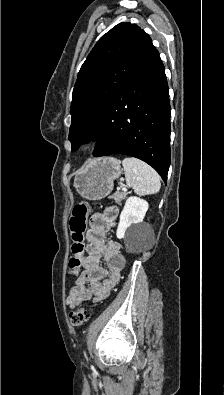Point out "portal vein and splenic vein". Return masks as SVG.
<instances>
[{
	"label": "portal vein and splenic vein",
	"instance_id": "obj_1",
	"mask_svg": "<svg viewBox=\"0 0 224 395\" xmlns=\"http://www.w3.org/2000/svg\"><path fill=\"white\" fill-rule=\"evenodd\" d=\"M122 190L126 191V188H122Z\"/></svg>",
	"mask_w": 224,
	"mask_h": 395
}]
</instances>
